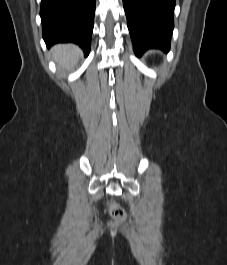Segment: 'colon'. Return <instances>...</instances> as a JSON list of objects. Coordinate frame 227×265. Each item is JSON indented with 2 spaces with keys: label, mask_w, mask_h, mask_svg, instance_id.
Wrapping results in <instances>:
<instances>
[{
  "label": "colon",
  "mask_w": 227,
  "mask_h": 265,
  "mask_svg": "<svg viewBox=\"0 0 227 265\" xmlns=\"http://www.w3.org/2000/svg\"><path fill=\"white\" fill-rule=\"evenodd\" d=\"M108 208L112 216V225H119L126 219L125 210L120 207L114 200H109Z\"/></svg>",
  "instance_id": "5ec220e1"
}]
</instances>
